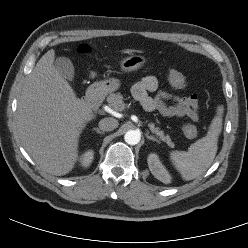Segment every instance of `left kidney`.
<instances>
[{"mask_svg": "<svg viewBox=\"0 0 248 248\" xmlns=\"http://www.w3.org/2000/svg\"><path fill=\"white\" fill-rule=\"evenodd\" d=\"M149 170L154 175L155 178L160 180L161 182L168 184L171 182V175L169 172L165 169V167L162 165V163L159 160V157L152 153L148 156L147 159Z\"/></svg>", "mask_w": 248, "mask_h": 248, "instance_id": "left-kidney-1", "label": "left kidney"}]
</instances>
